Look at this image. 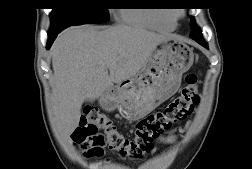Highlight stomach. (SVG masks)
Here are the masks:
<instances>
[{"label":"stomach","mask_w":252,"mask_h":169,"mask_svg":"<svg viewBox=\"0 0 252 169\" xmlns=\"http://www.w3.org/2000/svg\"><path fill=\"white\" fill-rule=\"evenodd\" d=\"M193 61V50L186 43L167 38L136 76L105 92L99 103L106 111L117 109L126 120H139L177 92Z\"/></svg>","instance_id":"stomach-1"}]
</instances>
